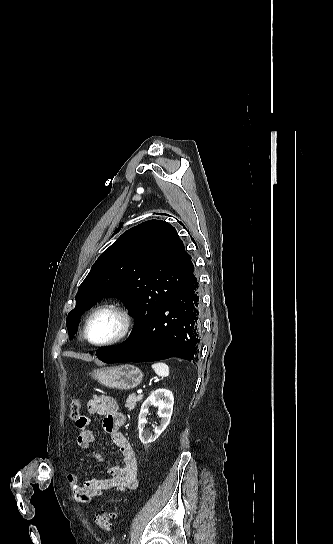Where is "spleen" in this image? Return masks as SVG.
<instances>
[{
	"label": "spleen",
	"instance_id": "1",
	"mask_svg": "<svg viewBox=\"0 0 333 544\" xmlns=\"http://www.w3.org/2000/svg\"><path fill=\"white\" fill-rule=\"evenodd\" d=\"M152 369L158 376L167 377L169 376V367L163 362L154 363Z\"/></svg>",
	"mask_w": 333,
	"mask_h": 544
}]
</instances>
